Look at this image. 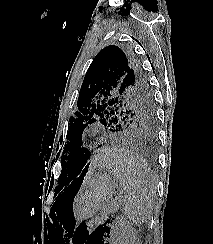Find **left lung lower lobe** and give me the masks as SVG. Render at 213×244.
<instances>
[{"label":"left lung lower lobe","mask_w":213,"mask_h":244,"mask_svg":"<svg viewBox=\"0 0 213 244\" xmlns=\"http://www.w3.org/2000/svg\"><path fill=\"white\" fill-rule=\"evenodd\" d=\"M89 158H90L89 151L87 149H85L80 155V158H79L78 164H77L76 174H75L74 179L72 180L71 184H80L82 182L83 177L87 172V168L89 165V163H88Z\"/></svg>","instance_id":"obj_1"}]
</instances>
